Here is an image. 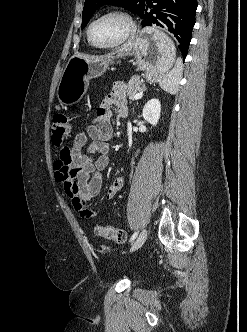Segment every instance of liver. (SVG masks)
<instances>
[{
  "mask_svg": "<svg viewBox=\"0 0 247 332\" xmlns=\"http://www.w3.org/2000/svg\"><path fill=\"white\" fill-rule=\"evenodd\" d=\"M74 57H80L86 60H93V61H100L104 58H106L105 56H100V57H95V56H90V55H84V54H76L74 55Z\"/></svg>",
  "mask_w": 247,
  "mask_h": 332,
  "instance_id": "6515ba94",
  "label": "liver"
}]
</instances>
